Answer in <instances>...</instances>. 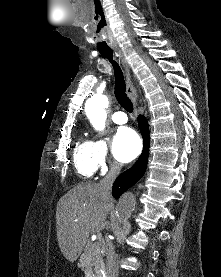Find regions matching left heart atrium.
<instances>
[{
	"instance_id": "obj_1",
	"label": "left heart atrium",
	"mask_w": 221,
	"mask_h": 277,
	"mask_svg": "<svg viewBox=\"0 0 221 277\" xmlns=\"http://www.w3.org/2000/svg\"><path fill=\"white\" fill-rule=\"evenodd\" d=\"M141 151V141L137 133L129 128H120L113 139V152L122 162L133 160Z\"/></svg>"
}]
</instances>
